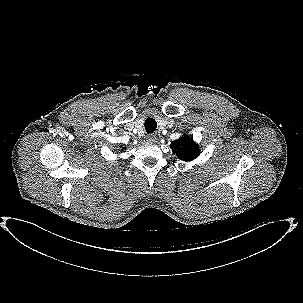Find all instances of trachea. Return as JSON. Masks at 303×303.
Returning a JSON list of instances; mask_svg holds the SVG:
<instances>
[{"label": "trachea", "instance_id": "3493384b", "mask_svg": "<svg viewBox=\"0 0 303 303\" xmlns=\"http://www.w3.org/2000/svg\"><path fill=\"white\" fill-rule=\"evenodd\" d=\"M144 125L147 133H153L157 128V122L153 118H147Z\"/></svg>", "mask_w": 303, "mask_h": 303}]
</instances>
